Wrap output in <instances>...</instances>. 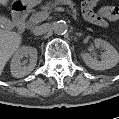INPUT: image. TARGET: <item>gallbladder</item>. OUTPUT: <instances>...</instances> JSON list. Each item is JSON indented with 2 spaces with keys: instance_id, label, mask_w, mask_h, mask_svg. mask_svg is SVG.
I'll return each instance as SVG.
<instances>
[{
  "instance_id": "gallbladder-1",
  "label": "gallbladder",
  "mask_w": 119,
  "mask_h": 119,
  "mask_svg": "<svg viewBox=\"0 0 119 119\" xmlns=\"http://www.w3.org/2000/svg\"><path fill=\"white\" fill-rule=\"evenodd\" d=\"M0 26L4 29H10L12 28V22L4 16H0Z\"/></svg>"
}]
</instances>
